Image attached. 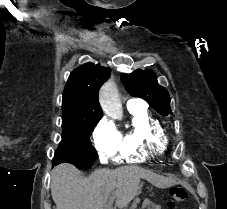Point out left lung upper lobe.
<instances>
[{
	"label": "left lung upper lobe",
	"instance_id": "1",
	"mask_svg": "<svg viewBox=\"0 0 227 209\" xmlns=\"http://www.w3.org/2000/svg\"><path fill=\"white\" fill-rule=\"evenodd\" d=\"M120 78L132 96L143 98L162 116L172 114L169 94L158 84L154 72L136 70L131 74H121Z\"/></svg>",
	"mask_w": 227,
	"mask_h": 209
}]
</instances>
